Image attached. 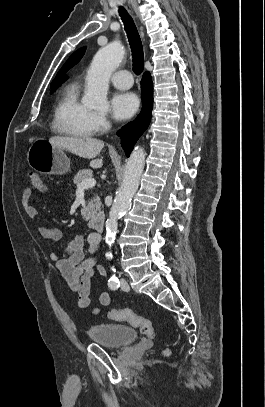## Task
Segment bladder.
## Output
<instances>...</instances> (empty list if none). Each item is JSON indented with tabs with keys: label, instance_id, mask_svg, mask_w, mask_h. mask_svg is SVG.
<instances>
[{
	"label": "bladder",
	"instance_id": "1",
	"mask_svg": "<svg viewBox=\"0 0 265 407\" xmlns=\"http://www.w3.org/2000/svg\"><path fill=\"white\" fill-rule=\"evenodd\" d=\"M87 334L93 342L111 348L133 344L137 339L135 329L119 324H94L88 328Z\"/></svg>",
	"mask_w": 265,
	"mask_h": 407
}]
</instances>
